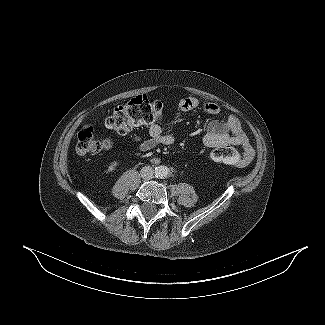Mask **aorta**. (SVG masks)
I'll use <instances>...</instances> for the list:
<instances>
[{
  "mask_svg": "<svg viewBox=\"0 0 325 325\" xmlns=\"http://www.w3.org/2000/svg\"><path fill=\"white\" fill-rule=\"evenodd\" d=\"M169 174V168L166 166H158L155 168V176L157 178H165Z\"/></svg>",
  "mask_w": 325,
  "mask_h": 325,
  "instance_id": "obj_1",
  "label": "aorta"
}]
</instances>
